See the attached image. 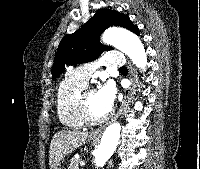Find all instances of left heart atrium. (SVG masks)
Returning <instances> with one entry per match:
<instances>
[{
  "mask_svg": "<svg viewBox=\"0 0 200 169\" xmlns=\"http://www.w3.org/2000/svg\"><path fill=\"white\" fill-rule=\"evenodd\" d=\"M99 100L101 104L103 105L106 112H110L112 110V107L115 103V97H116V90L111 82L105 83L98 91H97Z\"/></svg>",
  "mask_w": 200,
  "mask_h": 169,
  "instance_id": "obj_1",
  "label": "left heart atrium"
}]
</instances>
